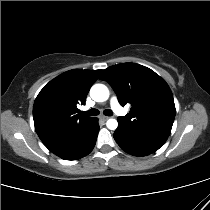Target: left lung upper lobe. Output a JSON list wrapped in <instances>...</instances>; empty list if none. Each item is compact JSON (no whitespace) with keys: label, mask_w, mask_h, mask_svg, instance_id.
<instances>
[{"label":"left lung upper lobe","mask_w":210,"mask_h":210,"mask_svg":"<svg viewBox=\"0 0 210 210\" xmlns=\"http://www.w3.org/2000/svg\"><path fill=\"white\" fill-rule=\"evenodd\" d=\"M100 79L111 85L122 106L132 105L130 113L118 117L121 127L168 138L176 110L172 92L158 74L136 63H123L105 69Z\"/></svg>","instance_id":"5c2ea615"}]
</instances>
